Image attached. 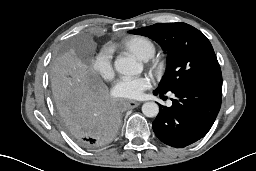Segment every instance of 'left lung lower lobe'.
<instances>
[{
    "label": "left lung lower lobe",
    "mask_w": 256,
    "mask_h": 171,
    "mask_svg": "<svg viewBox=\"0 0 256 171\" xmlns=\"http://www.w3.org/2000/svg\"><path fill=\"white\" fill-rule=\"evenodd\" d=\"M171 107L160 105L152 123L156 136L165 144L182 148L204 137L221 106L222 87L186 84L171 91ZM154 95L164 93L154 91Z\"/></svg>",
    "instance_id": "left-lung-lower-lobe-1"
}]
</instances>
